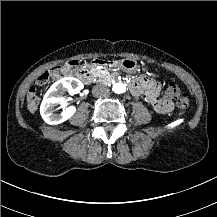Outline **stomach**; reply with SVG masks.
I'll use <instances>...</instances> for the list:
<instances>
[{"label":"stomach","instance_id":"obj_1","mask_svg":"<svg viewBox=\"0 0 217 217\" xmlns=\"http://www.w3.org/2000/svg\"><path fill=\"white\" fill-rule=\"evenodd\" d=\"M119 68L127 73H135L138 68V62L134 59L126 58L119 61Z\"/></svg>","mask_w":217,"mask_h":217}]
</instances>
